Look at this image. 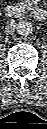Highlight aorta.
I'll list each match as a JSON object with an SVG mask.
<instances>
[{
  "label": "aorta",
  "mask_w": 47,
  "mask_h": 129,
  "mask_svg": "<svg viewBox=\"0 0 47 129\" xmlns=\"http://www.w3.org/2000/svg\"><path fill=\"white\" fill-rule=\"evenodd\" d=\"M32 30V24L27 20H20L16 25V31L19 35H29Z\"/></svg>",
  "instance_id": "762f6f07"
}]
</instances>
